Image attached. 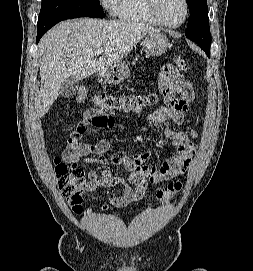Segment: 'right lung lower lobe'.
<instances>
[{"instance_id":"98d812e1","label":"right lung lower lobe","mask_w":253,"mask_h":271,"mask_svg":"<svg viewBox=\"0 0 253 271\" xmlns=\"http://www.w3.org/2000/svg\"><path fill=\"white\" fill-rule=\"evenodd\" d=\"M45 32H37V38H36V42L38 43L40 38L44 35Z\"/></svg>"}]
</instances>
